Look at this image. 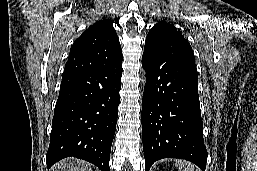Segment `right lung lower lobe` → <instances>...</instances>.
Instances as JSON below:
<instances>
[{"instance_id":"obj_1","label":"right lung lower lobe","mask_w":257,"mask_h":171,"mask_svg":"<svg viewBox=\"0 0 257 171\" xmlns=\"http://www.w3.org/2000/svg\"><path fill=\"white\" fill-rule=\"evenodd\" d=\"M122 61L106 68L62 76L47 166L77 157L109 171L120 102Z\"/></svg>"}]
</instances>
